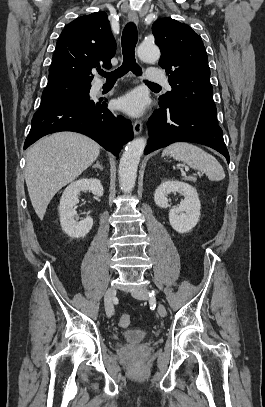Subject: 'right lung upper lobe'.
Returning a JSON list of instances; mask_svg holds the SVG:
<instances>
[{"mask_svg":"<svg viewBox=\"0 0 265 407\" xmlns=\"http://www.w3.org/2000/svg\"><path fill=\"white\" fill-rule=\"evenodd\" d=\"M115 52L116 42L104 11L79 17L64 28L57 41L48 83L91 84L92 68H111Z\"/></svg>","mask_w":265,"mask_h":407,"instance_id":"cb5924a9","label":"right lung upper lobe"}]
</instances>
